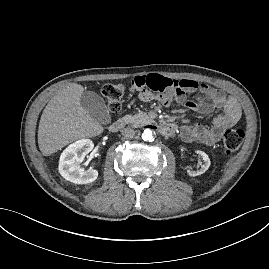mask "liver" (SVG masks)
Returning <instances> with one entry per match:
<instances>
[{"label": "liver", "instance_id": "liver-1", "mask_svg": "<svg viewBox=\"0 0 269 269\" xmlns=\"http://www.w3.org/2000/svg\"><path fill=\"white\" fill-rule=\"evenodd\" d=\"M83 86L71 83L46 105L38 129V145L44 156L52 155L69 143L100 135L103 127L80 105Z\"/></svg>", "mask_w": 269, "mask_h": 269}]
</instances>
